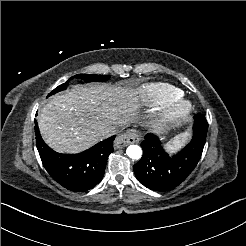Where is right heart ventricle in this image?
Returning a JSON list of instances; mask_svg holds the SVG:
<instances>
[{"label":"right heart ventricle","instance_id":"obj_1","mask_svg":"<svg viewBox=\"0 0 246 246\" xmlns=\"http://www.w3.org/2000/svg\"><path fill=\"white\" fill-rule=\"evenodd\" d=\"M140 93L143 103L153 110L163 109L180 96L178 89L165 83L143 84L140 87Z\"/></svg>","mask_w":246,"mask_h":246}]
</instances>
